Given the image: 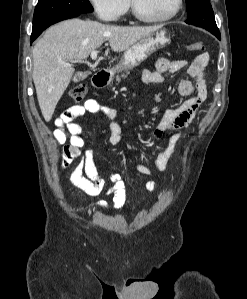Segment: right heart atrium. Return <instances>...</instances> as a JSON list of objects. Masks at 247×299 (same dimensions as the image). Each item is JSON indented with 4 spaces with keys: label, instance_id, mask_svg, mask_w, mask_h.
Instances as JSON below:
<instances>
[{
    "label": "right heart atrium",
    "instance_id": "1",
    "mask_svg": "<svg viewBox=\"0 0 247 299\" xmlns=\"http://www.w3.org/2000/svg\"><path fill=\"white\" fill-rule=\"evenodd\" d=\"M96 16L104 22L118 21L127 10L128 0H88Z\"/></svg>",
    "mask_w": 247,
    "mask_h": 299
}]
</instances>
